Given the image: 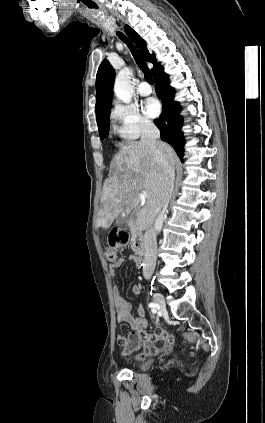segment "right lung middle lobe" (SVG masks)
Returning a JSON list of instances; mask_svg holds the SVG:
<instances>
[{"mask_svg": "<svg viewBox=\"0 0 265 423\" xmlns=\"http://www.w3.org/2000/svg\"><path fill=\"white\" fill-rule=\"evenodd\" d=\"M109 117L110 113L107 114L101 121V123L98 124V130L100 134L101 140L105 139L108 136L109 132Z\"/></svg>", "mask_w": 265, "mask_h": 423, "instance_id": "1", "label": "right lung middle lobe"}]
</instances>
